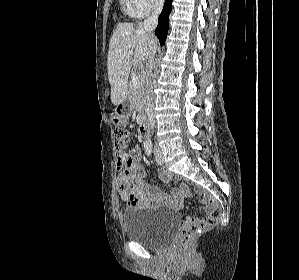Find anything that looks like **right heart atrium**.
Masks as SVG:
<instances>
[{"label": "right heart atrium", "mask_w": 299, "mask_h": 280, "mask_svg": "<svg viewBox=\"0 0 299 280\" xmlns=\"http://www.w3.org/2000/svg\"><path fill=\"white\" fill-rule=\"evenodd\" d=\"M143 15L152 12L161 6L163 0H134Z\"/></svg>", "instance_id": "obj_1"}]
</instances>
